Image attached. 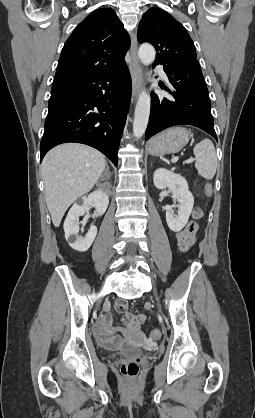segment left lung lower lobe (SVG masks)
Segmentation results:
<instances>
[{"label":"left lung lower lobe","instance_id":"obj_1","mask_svg":"<svg viewBox=\"0 0 255 418\" xmlns=\"http://www.w3.org/2000/svg\"><path fill=\"white\" fill-rule=\"evenodd\" d=\"M156 65L154 63L153 67ZM163 66L174 89L169 91V98L151 94L146 140L168 127L180 124L198 127L217 140L211 102L199 62Z\"/></svg>","mask_w":255,"mask_h":418}]
</instances>
